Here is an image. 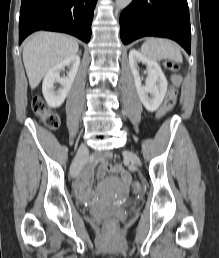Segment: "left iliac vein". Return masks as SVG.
Here are the masks:
<instances>
[{"label": "left iliac vein", "instance_id": "left-iliac-vein-1", "mask_svg": "<svg viewBox=\"0 0 219 258\" xmlns=\"http://www.w3.org/2000/svg\"><path fill=\"white\" fill-rule=\"evenodd\" d=\"M124 156L126 158H128L133 164H136V165H140L141 162H140V159L138 158V156L133 153L132 151H124Z\"/></svg>", "mask_w": 219, "mask_h": 258}]
</instances>
